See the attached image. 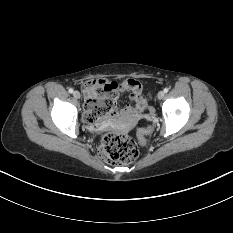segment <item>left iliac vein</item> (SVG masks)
<instances>
[{"instance_id":"1","label":"left iliac vein","mask_w":233,"mask_h":233,"mask_svg":"<svg viewBox=\"0 0 233 233\" xmlns=\"http://www.w3.org/2000/svg\"><path fill=\"white\" fill-rule=\"evenodd\" d=\"M165 96V92L164 91H159L157 94L158 99H163Z\"/></svg>"}]
</instances>
